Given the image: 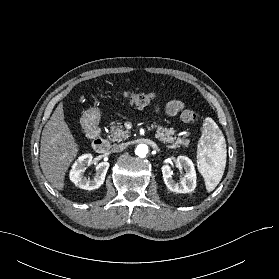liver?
<instances>
[{
	"mask_svg": "<svg viewBox=\"0 0 279 279\" xmlns=\"http://www.w3.org/2000/svg\"><path fill=\"white\" fill-rule=\"evenodd\" d=\"M78 151V144L64 120L61 102L43 128L40 146V166L54 188L63 190L65 173Z\"/></svg>",
	"mask_w": 279,
	"mask_h": 279,
	"instance_id": "obj_1",
	"label": "liver"
}]
</instances>
